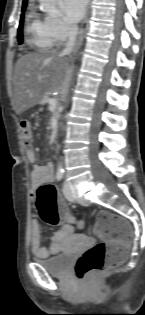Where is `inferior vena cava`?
I'll list each match as a JSON object with an SVG mask.
<instances>
[{
	"label": "inferior vena cava",
	"mask_w": 145,
	"mask_h": 315,
	"mask_svg": "<svg viewBox=\"0 0 145 315\" xmlns=\"http://www.w3.org/2000/svg\"><path fill=\"white\" fill-rule=\"evenodd\" d=\"M77 34H78V27L76 25H70L68 28V40L65 44V48L61 52L62 55L70 54L73 51Z\"/></svg>",
	"instance_id": "1"
}]
</instances>
